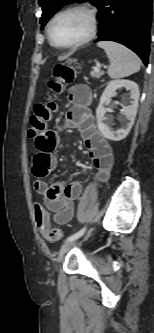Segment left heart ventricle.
I'll use <instances>...</instances> for the list:
<instances>
[{"mask_svg":"<svg viewBox=\"0 0 154 333\" xmlns=\"http://www.w3.org/2000/svg\"><path fill=\"white\" fill-rule=\"evenodd\" d=\"M88 31V18L82 12H69L60 16L52 26V35L59 45L71 44Z\"/></svg>","mask_w":154,"mask_h":333,"instance_id":"1","label":"left heart ventricle"}]
</instances>
